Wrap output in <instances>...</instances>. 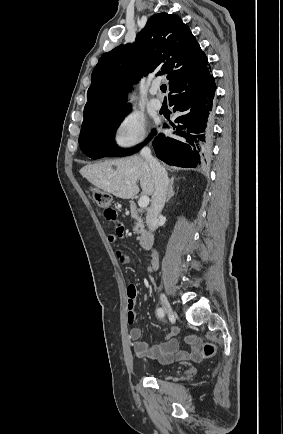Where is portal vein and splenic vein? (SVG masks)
Wrapping results in <instances>:
<instances>
[{
    "mask_svg": "<svg viewBox=\"0 0 283 434\" xmlns=\"http://www.w3.org/2000/svg\"><path fill=\"white\" fill-rule=\"evenodd\" d=\"M138 205L140 208H146L149 205V197L146 195L142 196L138 201Z\"/></svg>",
    "mask_w": 283,
    "mask_h": 434,
    "instance_id": "portal-vein-and-splenic-vein-1",
    "label": "portal vein and splenic vein"
}]
</instances>
